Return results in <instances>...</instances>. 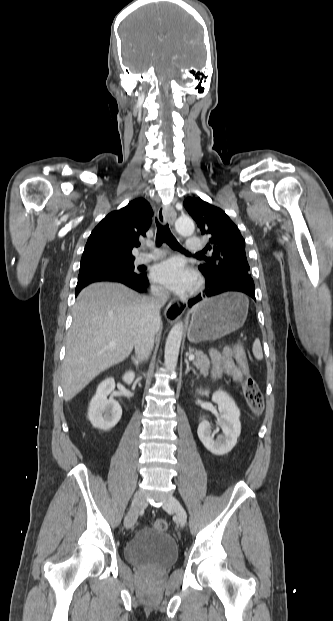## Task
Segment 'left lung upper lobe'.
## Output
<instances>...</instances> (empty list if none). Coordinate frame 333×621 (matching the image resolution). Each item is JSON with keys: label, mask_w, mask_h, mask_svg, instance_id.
<instances>
[{"label": "left lung upper lobe", "mask_w": 333, "mask_h": 621, "mask_svg": "<svg viewBox=\"0 0 333 621\" xmlns=\"http://www.w3.org/2000/svg\"><path fill=\"white\" fill-rule=\"evenodd\" d=\"M184 207L196 221L201 234L209 236L212 256L198 266L212 283L231 276L252 278L245 253V241L228 215L201 198L188 197Z\"/></svg>", "instance_id": "1"}]
</instances>
